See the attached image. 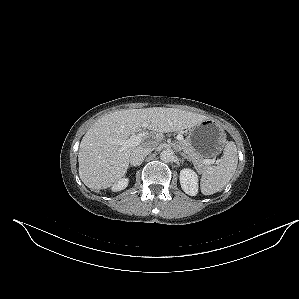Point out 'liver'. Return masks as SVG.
<instances>
[{
	"label": "liver",
	"mask_w": 299,
	"mask_h": 299,
	"mask_svg": "<svg viewBox=\"0 0 299 299\" xmlns=\"http://www.w3.org/2000/svg\"><path fill=\"white\" fill-rule=\"evenodd\" d=\"M208 117L174 108L126 109L102 116L80 143L78 162L82 182L92 190L106 189L127 172L131 153L137 146L119 151L108 138L126 140L142 128L166 133L191 128ZM146 144L138 147H146Z\"/></svg>",
	"instance_id": "liver-1"
}]
</instances>
